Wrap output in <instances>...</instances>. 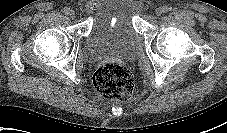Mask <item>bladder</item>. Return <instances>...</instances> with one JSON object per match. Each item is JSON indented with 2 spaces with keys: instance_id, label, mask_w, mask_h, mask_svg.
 Returning a JSON list of instances; mask_svg holds the SVG:
<instances>
[{
  "instance_id": "1",
  "label": "bladder",
  "mask_w": 227,
  "mask_h": 133,
  "mask_svg": "<svg viewBox=\"0 0 227 133\" xmlns=\"http://www.w3.org/2000/svg\"><path fill=\"white\" fill-rule=\"evenodd\" d=\"M138 10V0H102L85 38L83 56L89 61L132 57L137 45L134 16Z\"/></svg>"
}]
</instances>
